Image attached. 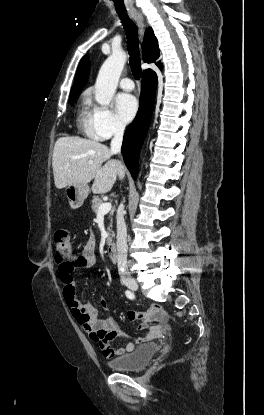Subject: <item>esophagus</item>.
Returning a JSON list of instances; mask_svg holds the SVG:
<instances>
[{
  "mask_svg": "<svg viewBox=\"0 0 264 415\" xmlns=\"http://www.w3.org/2000/svg\"><path fill=\"white\" fill-rule=\"evenodd\" d=\"M130 16L136 21L139 27L140 40L142 42L144 32H145V24H144L143 16L138 11L130 12Z\"/></svg>",
  "mask_w": 264,
  "mask_h": 415,
  "instance_id": "34e87169",
  "label": "esophagus"
}]
</instances>
